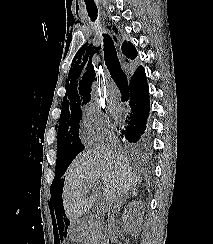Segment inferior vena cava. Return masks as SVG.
Segmentation results:
<instances>
[{"label": "inferior vena cava", "mask_w": 213, "mask_h": 244, "mask_svg": "<svg viewBox=\"0 0 213 244\" xmlns=\"http://www.w3.org/2000/svg\"><path fill=\"white\" fill-rule=\"evenodd\" d=\"M113 141L117 142L118 138L114 137ZM113 146H114V149H116V143H114ZM120 203H121V199L120 198H113L112 201H109V202L106 203L107 207L111 211V215H114L116 213L117 208H119V206H120Z\"/></svg>", "instance_id": "inferior-vena-cava-1"}]
</instances>
